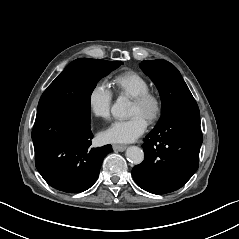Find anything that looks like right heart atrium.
Masks as SVG:
<instances>
[{"instance_id": "1", "label": "right heart atrium", "mask_w": 239, "mask_h": 239, "mask_svg": "<svg viewBox=\"0 0 239 239\" xmlns=\"http://www.w3.org/2000/svg\"><path fill=\"white\" fill-rule=\"evenodd\" d=\"M113 101V92L106 84L97 82L87 93V105L92 116L96 118L108 117Z\"/></svg>"}]
</instances>
